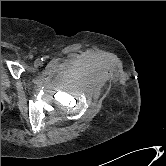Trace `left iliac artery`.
Returning <instances> with one entry per match:
<instances>
[{
    "mask_svg": "<svg viewBox=\"0 0 166 166\" xmlns=\"http://www.w3.org/2000/svg\"><path fill=\"white\" fill-rule=\"evenodd\" d=\"M41 60H42V61H45V60H46V57L41 58Z\"/></svg>",
    "mask_w": 166,
    "mask_h": 166,
    "instance_id": "44dca946",
    "label": "left iliac artery"
}]
</instances>
